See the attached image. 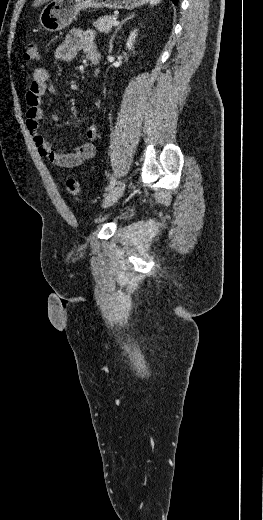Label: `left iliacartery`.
Here are the masks:
<instances>
[{
    "mask_svg": "<svg viewBox=\"0 0 263 520\" xmlns=\"http://www.w3.org/2000/svg\"><path fill=\"white\" fill-rule=\"evenodd\" d=\"M116 184V179L113 177L109 183V186L107 188V191H110Z\"/></svg>",
    "mask_w": 263,
    "mask_h": 520,
    "instance_id": "1",
    "label": "left iliac artery"
}]
</instances>
